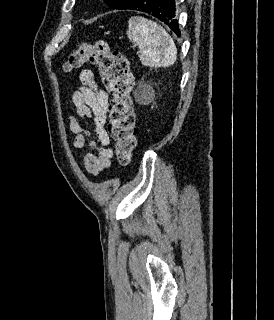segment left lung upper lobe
I'll use <instances>...</instances> for the list:
<instances>
[{
  "label": "left lung upper lobe",
  "mask_w": 274,
  "mask_h": 320,
  "mask_svg": "<svg viewBox=\"0 0 274 320\" xmlns=\"http://www.w3.org/2000/svg\"><path fill=\"white\" fill-rule=\"evenodd\" d=\"M132 0H104L111 9H123Z\"/></svg>",
  "instance_id": "left-lung-upper-lobe-1"
}]
</instances>
